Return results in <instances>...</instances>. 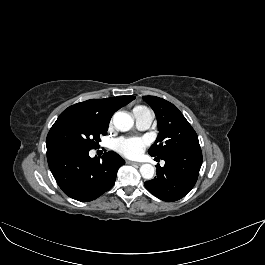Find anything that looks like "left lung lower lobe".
<instances>
[{
	"label": "left lung lower lobe",
	"instance_id": "0a47b994",
	"mask_svg": "<svg viewBox=\"0 0 265 265\" xmlns=\"http://www.w3.org/2000/svg\"><path fill=\"white\" fill-rule=\"evenodd\" d=\"M158 159L159 158H155ZM157 165V177L145 182V187L163 201L173 202L183 198L195 185L202 165L200 147L169 152Z\"/></svg>",
	"mask_w": 265,
	"mask_h": 265
}]
</instances>
